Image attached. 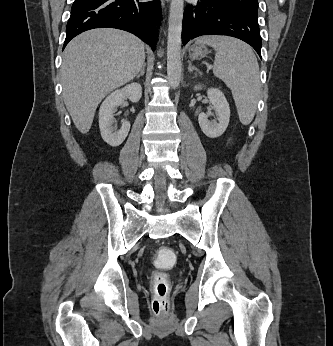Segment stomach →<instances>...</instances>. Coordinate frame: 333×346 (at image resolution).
<instances>
[{
	"label": "stomach",
	"mask_w": 333,
	"mask_h": 346,
	"mask_svg": "<svg viewBox=\"0 0 333 346\" xmlns=\"http://www.w3.org/2000/svg\"><path fill=\"white\" fill-rule=\"evenodd\" d=\"M209 53L208 48L204 44H194L189 48V56L192 59H202Z\"/></svg>",
	"instance_id": "obj_1"
}]
</instances>
